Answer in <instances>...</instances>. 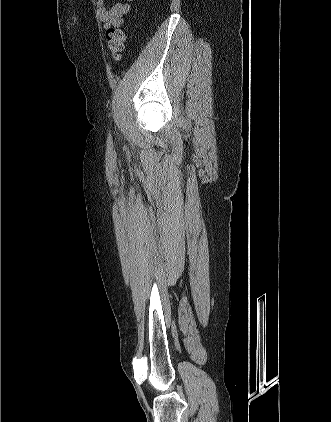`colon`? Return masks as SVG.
<instances>
[{
	"mask_svg": "<svg viewBox=\"0 0 331 422\" xmlns=\"http://www.w3.org/2000/svg\"><path fill=\"white\" fill-rule=\"evenodd\" d=\"M106 42L110 56L118 60L124 49L125 34L121 28L110 27L106 31Z\"/></svg>",
	"mask_w": 331,
	"mask_h": 422,
	"instance_id": "obj_1",
	"label": "colon"
}]
</instances>
